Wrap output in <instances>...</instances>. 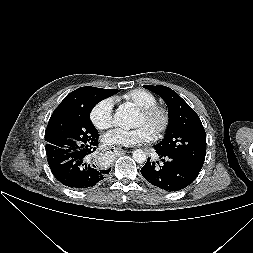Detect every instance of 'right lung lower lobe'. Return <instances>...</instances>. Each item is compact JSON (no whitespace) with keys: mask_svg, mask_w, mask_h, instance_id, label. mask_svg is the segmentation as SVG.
<instances>
[{"mask_svg":"<svg viewBox=\"0 0 253 253\" xmlns=\"http://www.w3.org/2000/svg\"><path fill=\"white\" fill-rule=\"evenodd\" d=\"M98 138L86 148L59 157H48V164L55 178L65 186L85 189L102 181L111 168H103L94 161L93 152Z\"/></svg>","mask_w":253,"mask_h":253,"instance_id":"1","label":"right lung lower lobe"}]
</instances>
